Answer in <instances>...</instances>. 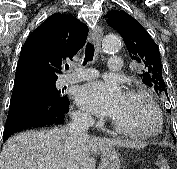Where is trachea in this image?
Wrapping results in <instances>:
<instances>
[{"label": "trachea", "instance_id": "1", "mask_svg": "<svg viewBox=\"0 0 177 169\" xmlns=\"http://www.w3.org/2000/svg\"><path fill=\"white\" fill-rule=\"evenodd\" d=\"M94 51H95L94 46L91 43H88L87 46H86V50H85V58H84L83 65H86L87 62L93 60ZM65 67H66V69H69L68 65H66Z\"/></svg>", "mask_w": 177, "mask_h": 169}]
</instances>
